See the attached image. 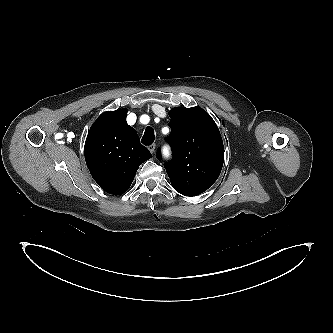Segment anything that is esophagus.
<instances>
[{
    "label": "esophagus",
    "instance_id": "34e87169",
    "mask_svg": "<svg viewBox=\"0 0 333 333\" xmlns=\"http://www.w3.org/2000/svg\"><path fill=\"white\" fill-rule=\"evenodd\" d=\"M155 148H156L155 144H152V145L148 146V149L152 154L155 152Z\"/></svg>",
    "mask_w": 333,
    "mask_h": 333
}]
</instances>
